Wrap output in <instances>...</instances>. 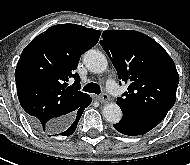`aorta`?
<instances>
[{
    "label": "aorta",
    "instance_id": "1",
    "mask_svg": "<svg viewBox=\"0 0 190 165\" xmlns=\"http://www.w3.org/2000/svg\"><path fill=\"white\" fill-rule=\"evenodd\" d=\"M84 64L90 72L96 74L105 72L108 67L105 55L98 50L87 51L84 55ZM102 113L109 123H118L122 118V111L116 103L104 105Z\"/></svg>",
    "mask_w": 190,
    "mask_h": 165
}]
</instances>
